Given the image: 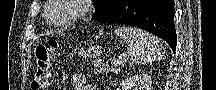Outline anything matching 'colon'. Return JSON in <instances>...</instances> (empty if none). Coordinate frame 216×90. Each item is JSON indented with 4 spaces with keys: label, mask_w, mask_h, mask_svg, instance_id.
<instances>
[{
    "label": "colon",
    "mask_w": 216,
    "mask_h": 90,
    "mask_svg": "<svg viewBox=\"0 0 216 90\" xmlns=\"http://www.w3.org/2000/svg\"><path fill=\"white\" fill-rule=\"evenodd\" d=\"M58 47L57 41L49 40L36 48V70L31 84L32 89H47L51 77L53 55Z\"/></svg>",
    "instance_id": "5ec220e1"
}]
</instances>
